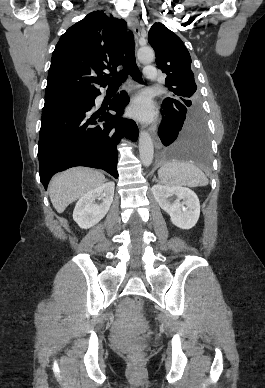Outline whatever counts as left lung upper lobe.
I'll list each match as a JSON object with an SVG mask.
<instances>
[{
	"label": "left lung upper lobe",
	"instance_id": "1",
	"mask_svg": "<svg viewBox=\"0 0 265 388\" xmlns=\"http://www.w3.org/2000/svg\"><path fill=\"white\" fill-rule=\"evenodd\" d=\"M148 42L155 51L157 67L167 75L165 84L173 98L166 99L201 110L191 57L182 40L162 23H155L149 30Z\"/></svg>",
	"mask_w": 265,
	"mask_h": 388
}]
</instances>
